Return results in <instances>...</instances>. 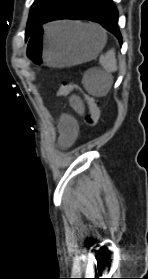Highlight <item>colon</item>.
Masks as SVG:
<instances>
[{
	"mask_svg": "<svg viewBox=\"0 0 148 279\" xmlns=\"http://www.w3.org/2000/svg\"><path fill=\"white\" fill-rule=\"evenodd\" d=\"M72 92H79L84 98L89 112L85 117V122L87 125L91 127L96 126L99 122L101 114L97 100L94 97L83 93L80 87L75 83H62L58 89V94L62 96H66Z\"/></svg>",
	"mask_w": 148,
	"mask_h": 279,
	"instance_id": "1",
	"label": "colon"
}]
</instances>
